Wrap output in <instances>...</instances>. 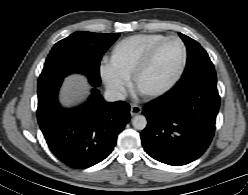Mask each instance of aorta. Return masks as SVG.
<instances>
[{"instance_id":"obj_1","label":"aorta","mask_w":248,"mask_h":195,"mask_svg":"<svg viewBox=\"0 0 248 195\" xmlns=\"http://www.w3.org/2000/svg\"><path fill=\"white\" fill-rule=\"evenodd\" d=\"M132 125L137 130H143L147 126V119L144 115H136L132 119Z\"/></svg>"}]
</instances>
